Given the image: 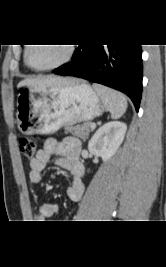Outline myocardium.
<instances>
[{
  "label": "myocardium",
  "mask_w": 166,
  "mask_h": 267,
  "mask_svg": "<svg viewBox=\"0 0 166 267\" xmlns=\"http://www.w3.org/2000/svg\"><path fill=\"white\" fill-rule=\"evenodd\" d=\"M32 45L33 44H28L25 47L23 58H24V62L26 64V66L28 68H30L31 70L36 71V72H47V71H51V70H54V69H57L59 67L64 66L65 64H67L72 59V57L74 55V51H75L74 46H72L71 44H66V46H65L66 47V55L61 61H59L56 64L47 66V67L38 68V67H33L32 65H30V63L28 61V53H29V50L32 47Z\"/></svg>",
  "instance_id": "obj_1"
}]
</instances>
